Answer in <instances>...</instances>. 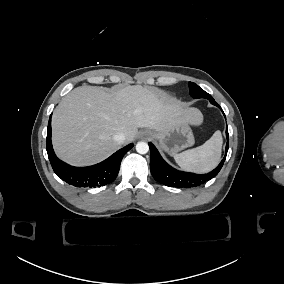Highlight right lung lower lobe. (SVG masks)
Listing matches in <instances>:
<instances>
[{
    "label": "right lung lower lobe",
    "mask_w": 284,
    "mask_h": 284,
    "mask_svg": "<svg viewBox=\"0 0 284 284\" xmlns=\"http://www.w3.org/2000/svg\"><path fill=\"white\" fill-rule=\"evenodd\" d=\"M47 153L55 174L76 187H101L115 180L123 156L133 147L129 144L106 160L88 167H74L61 161L54 153L51 142V116L47 129Z\"/></svg>",
    "instance_id": "1"
}]
</instances>
